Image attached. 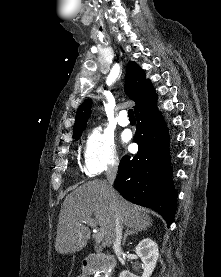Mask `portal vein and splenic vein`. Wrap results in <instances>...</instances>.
I'll return each instance as SVG.
<instances>
[{"label": "portal vein and splenic vein", "mask_w": 221, "mask_h": 277, "mask_svg": "<svg viewBox=\"0 0 221 277\" xmlns=\"http://www.w3.org/2000/svg\"><path fill=\"white\" fill-rule=\"evenodd\" d=\"M83 223L89 224L92 227L96 226V221L92 218H88V219L84 220ZM103 238H104V232L102 230L97 231L95 234L96 242L101 243L103 241Z\"/></svg>", "instance_id": "obj_1"}]
</instances>
